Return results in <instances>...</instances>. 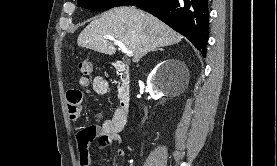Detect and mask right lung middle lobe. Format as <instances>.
I'll list each match as a JSON object with an SVG mask.
<instances>
[{"label":"right lung middle lobe","mask_w":277,"mask_h":166,"mask_svg":"<svg viewBox=\"0 0 277 166\" xmlns=\"http://www.w3.org/2000/svg\"><path fill=\"white\" fill-rule=\"evenodd\" d=\"M125 0H78V7L93 11L108 10L120 6Z\"/></svg>","instance_id":"1"}]
</instances>
